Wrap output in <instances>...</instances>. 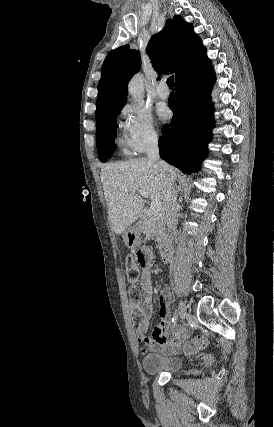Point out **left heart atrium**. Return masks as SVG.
<instances>
[{"label":"left heart atrium","instance_id":"39dd6f15","mask_svg":"<svg viewBox=\"0 0 274 427\" xmlns=\"http://www.w3.org/2000/svg\"><path fill=\"white\" fill-rule=\"evenodd\" d=\"M156 117L160 122H166L171 117V111L165 104L156 107Z\"/></svg>","mask_w":274,"mask_h":427}]
</instances>
